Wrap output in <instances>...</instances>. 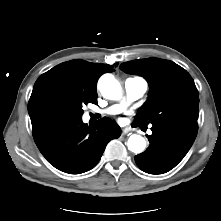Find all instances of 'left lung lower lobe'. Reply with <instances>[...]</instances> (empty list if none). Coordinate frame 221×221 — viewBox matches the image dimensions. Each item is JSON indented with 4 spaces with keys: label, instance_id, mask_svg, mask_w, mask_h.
Returning <instances> with one entry per match:
<instances>
[{
    "label": "left lung lower lobe",
    "instance_id": "obj_1",
    "mask_svg": "<svg viewBox=\"0 0 221 221\" xmlns=\"http://www.w3.org/2000/svg\"><path fill=\"white\" fill-rule=\"evenodd\" d=\"M135 127L140 126L133 121ZM153 134L147 135L150 146L135 156L137 166L149 174H163L173 169L187 154L197 128L174 123H154Z\"/></svg>",
    "mask_w": 221,
    "mask_h": 221
}]
</instances>
